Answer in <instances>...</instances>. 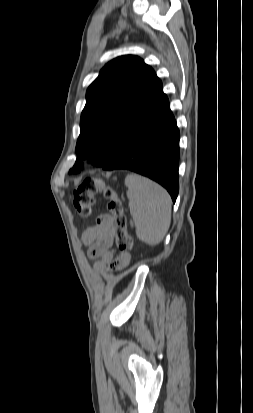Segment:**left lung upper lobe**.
<instances>
[{
    "instance_id": "1",
    "label": "left lung upper lobe",
    "mask_w": 253,
    "mask_h": 413,
    "mask_svg": "<svg viewBox=\"0 0 253 413\" xmlns=\"http://www.w3.org/2000/svg\"><path fill=\"white\" fill-rule=\"evenodd\" d=\"M162 85L154 70L132 55L106 64L89 86L80 121L76 160L69 173L83 169L81 160L103 167L116 155L120 128L138 115Z\"/></svg>"
}]
</instances>
